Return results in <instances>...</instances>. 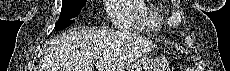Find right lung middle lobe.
<instances>
[{"label":"right lung middle lobe","instance_id":"1","mask_svg":"<svg viewBox=\"0 0 230 71\" xmlns=\"http://www.w3.org/2000/svg\"><path fill=\"white\" fill-rule=\"evenodd\" d=\"M87 0H62V11L59 20L56 22L55 29L62 30L68 27L78 16L81 9L85 6Z\"/></svg>","mask_w":230,"mask_h":71}]
</instances>
